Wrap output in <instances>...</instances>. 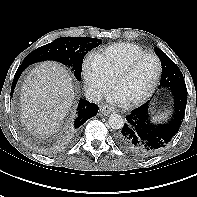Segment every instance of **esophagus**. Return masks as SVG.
Masks as SVG:
<instances>
[{
    "label": "esophagus",
    "mask_w": 197,
    "mask_h": 197,
    "mask_svg": "<svg viewBox=\"0 0 197 197\" xmlns=\"http://www.w3.org/2000/svg\"><path fill=\"white\" fill-rule=\"evenodd\" d=\"M114 111V109L108 105H103L100 107V112L104 115H109Z\"/></svg>",
    "instance_id": "esophagus-1"
}]
</instances>
